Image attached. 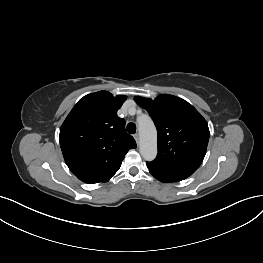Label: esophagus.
Instances as JSON below:
<instances>
[{"mask_svg": "<svg viewBox=\"0 0 263 263\" xmlns=\"http://www.w3.org/2000/svg\"><path fill=\"white\" fill-rule=\"evenodd\" d=\"M134 139H135L136 143L138 144L139 143V134L138 133L134 134Z\"/></svg>", "mask_w": 263, "mask_h": 263, "instance_id": "34e87169", "label": "esophagus"}]
</instances>
